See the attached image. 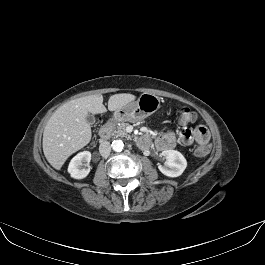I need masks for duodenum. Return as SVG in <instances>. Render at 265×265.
Instances as JSON below:
<instances>
[{
    "label": "duodenum",
    "mask_w": 265,
    "mask_h": 265,
    "mask_svg": "<svg viewBox=\"0 0 265 265\" xmlns=\"http://www.w3.org/2000/svg\"><path fill=\"white\" fill-rule=\"evenodd\" d=\"M117 121H118V117L113 116L102 126V128L99 131V134L103 140L107 139L110 136V134L112 133L113 127ZM138 144L142 147H148L149 137L147 135L140 136L138 138Z\"/></svg>",
    "instance_id": "duodenum-1"
}]
</instances>
